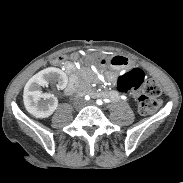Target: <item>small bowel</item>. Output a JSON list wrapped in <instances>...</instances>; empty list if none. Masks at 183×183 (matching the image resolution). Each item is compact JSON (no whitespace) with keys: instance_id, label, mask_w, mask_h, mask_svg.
Returning a JSON list of instances; mask_svg holds the SVG:
<instances>
[{"instance_id":"1","label":"small bowel","mask_w":183,"mask_h":183,"mask_svg":"<svg viewBox=\"0 0 183 183\" xmlns=\"http://www.w3.org/2000/svg\"><path fill=\"white\" fill-rule=\"evenodd\" d=\"M102 95L110 97L112 95V93H106V94H102Z\"/></svg>"}]
</instances>
